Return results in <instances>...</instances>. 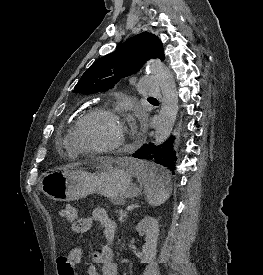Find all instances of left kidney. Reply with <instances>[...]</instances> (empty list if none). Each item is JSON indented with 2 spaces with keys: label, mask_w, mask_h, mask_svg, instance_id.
Masks as SVG:
<instances>
[{
  "label": "left kidney",
  "mask_w": 263,
  "mask_h": 275,
  "mask_svg": "<svg viewBox=\"0 0 263 275\" xmlns=\"http://www.w3.org/2000/svg\"><path fill=\"white\" fill-rule=\"evenodd\" d=\"M136 231L145 234V244L142 246L143 258L141 262H153L157 255V240L159 236L158 221L151 216H146L138 223Z\"/></svg>",
  "instance_id": "obj_1"
}]
</instances>
